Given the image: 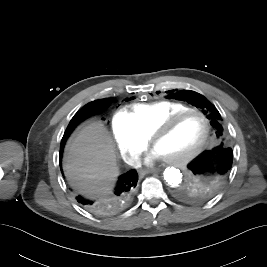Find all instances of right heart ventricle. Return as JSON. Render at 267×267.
Here are the masks:
<instances>
[{
    "label": "right heart ventricle",
    "mask_w": 267,
    "mask_h": 267,
    "mask_svg": "<svg viewBox=\"0 0 267 267\" xmlns=\"http://www.w3.org/2000/svg\"><path fill=\"white\" fill-rule=\"evenodd\" d=\"M191 109L188 105L175 101H156L134 104L125 111L135 129L148 139L154 129L174 113Z\"/></svg>",
    "instance_id": "1"
}]
</instances>
